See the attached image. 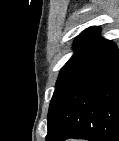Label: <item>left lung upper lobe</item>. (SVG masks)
<instances>
[{"label": "left lung upper lobe", "instance_id": "1", "mask_svg": "<svg viewBox=\"0 0 119 141\" xmlns=\"http://www.w3.org/2000/svg\"><path fill=\"white\" fill-rule=\"evenodd\" d=\"M99 33L100 28L93 26L83 31L75 40V53L61 69L54 95L74 80L97 56L105 42L104 38L99 37Z\"/></svg>", "mask_w": 119, "mask_h": 141}]
</instances>
